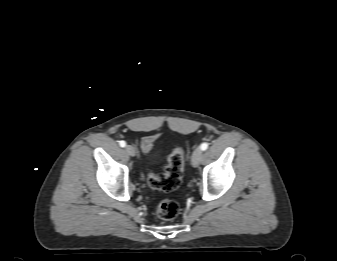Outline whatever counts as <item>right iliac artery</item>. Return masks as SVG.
Segmentation results:
<instances>
[{
	"mask_svg": "<svg viewBox=\"0 0 337 261\" xmlns=\"http://www.w3.org/2000/svg\"><path fill=\"white\" fill-rule=\"evenodd\" d=\"M119 145H120L121 147H125V146H126V142L122 140V141L119 142Z\"/></svg>",
	"mask_w": 337,
	"mask_h": 261,
	"instance_id": "1",
	"label": "right iliac artery"
}]
</instances>
